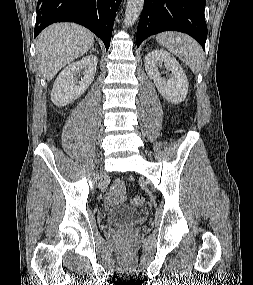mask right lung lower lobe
<instances>
[{
  "mask_svg": "<svg viewBox=\"0 0 253 285\" xmlns=\"http://www.w3.org/2000/svg\"><path fill=\"white\" fill-rule=\"evenodd\" d=\"M120 3L121 0H38L34 37L52 23L75 22L101 38L108 50Z\"/></svg>",
  "mask_w": 253,
  "mask_h": 285,
  "instance_id": "right-lung-lower-lobe-1",
  "label": "right lung lower lobe"
}]
</instances>
